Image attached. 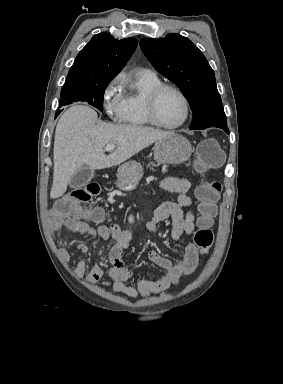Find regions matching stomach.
Returning <instances> with one entry per match:
<instances>
[{
  "instance_id": "obj_1",
  "label": "stomach",
  "mask_w": 283,
  "mask_h": 384,
  "mask_svg": "<svg viewBox=\"0 0 283 384\" xmlns=\"http://www.w3.org/2000/svg\"><path fill=\"white\" fill-rule=\"evenodd\" d=\"M191 154L192 146L189 140L180 134L161 138L154 148V160L158 164H183L189 160ZM142 176L143 170L138 162H126L117 170V188L123 192H131L138 186Z\"/></svg>"
}]
</instances>
